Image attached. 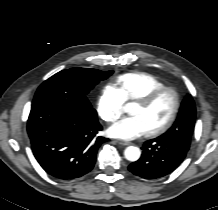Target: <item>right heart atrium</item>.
<instances>
[{
    "label": "right heart atrium",
    "mask_w": 218,
    "mask_h": 210,
    "mask_svg": "<svg viewBox=\"0 0 218 210\" xmlns=\"http://www.w3.org/2000/svg\"><path fill=\"white\" fill-rule=\"evenodd\" d=\"M96 111L105 122H115L124 113V101L113 87L106 86L97 98Z\"/></svg>",
    "instance_id": "obj_1"
}]
</instances>
